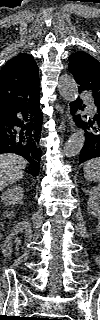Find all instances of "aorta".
Listing matches in <instances>:
<instances>
[{
    "mask_svg": "<svg viewBox=\"0 0 100 320\" xmlns=\"http://www.w3.org/2000/svg\"><path fill=\"white\" fill-rule=\"evenodd\" d=\"M58 89L61 96L66 101H74L77 98L78 86L73 76L62 74L58 80ZM83 130H76L65 143L63 155L65 157H73L77 155L84 146L85 135Z\"/></svg>",
    "mask_w": 100,
    "mask_h": 320,
    "instance_id": "1",
    "label": "aorta"
}]
</instances>
